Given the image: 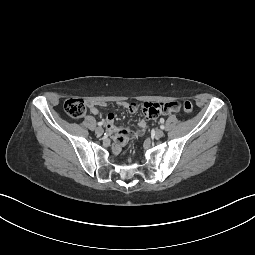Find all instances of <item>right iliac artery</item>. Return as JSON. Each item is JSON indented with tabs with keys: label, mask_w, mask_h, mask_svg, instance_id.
Here are the masks:
<instances>
[{
	"label": "right iliac artery",
	"mask_w": 255,
	"mask_h": 255,
	"mask_svg": "<svg viewBox=\"0 0 255 255\" xmlns=\"http://www.w3.org/2000/svg\"><path fill=\"white\" fill-rule=\"evenodd\" d=\"M103 125V122H98V126H102Z\"/></svg>",
	"instance_id": "obj_1"
}]
</instances>
